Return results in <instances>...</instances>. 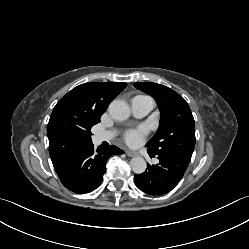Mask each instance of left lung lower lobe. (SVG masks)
<instances>
[{
  "label": "left lung lower lobe",
  "mask_w": 249,
  "mask_h": 249,
  "mask_svg": "<svg viewBox=\"0 0 249 249\" xmlns=\"http://www.w3.org/2000/svg\"><path fill=\"white\" fill-rule=\"evenodd\" d=\"M148 154L152 157L156 155L159 164L155 166L148 164L147 171L136 174L134 176L136 186L151 195H162L171 191L183 177L190 161L171 155L153 154L150 151Z\"/></svg>",
  "instance_id": "1"
}]
</instances>
